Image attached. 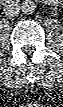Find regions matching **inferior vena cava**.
<instances>
[{"instance_id": "obj_1", "label": "inferior vena cava", "mask_w": 63, "mask_h": 107, "mask_svg": "<svg viewBox=\"0 0 63 107\" xmlns=\"http://www.w3.org/2000/svg\"><path fill=\"white\" fill-rule=\"evenodd\" d=\"M19 12H20V6L15 1L8 2L4 7V14L7 17H15L19 14Z\"/></svg>"}]
</instances>
